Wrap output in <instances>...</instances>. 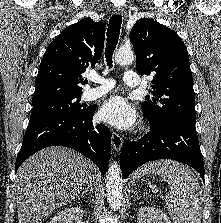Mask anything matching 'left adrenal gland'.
Returning <instances> with one entry per match:
<instances>
[{
    "label": "left adrenal gland",
    "instance_id": "left-adrenal-gland-1",
    "mask_svg": "<svg viewBox=\"0 0 221 223\" xmlns=\"http://www.w3.org/2000/svg\"><path fill=\"white\" fill-rule=\"evenodd\" d=\"M140 198V196L138 195V192H136V197L134 199V201L138 200Z\"/></svg>",
    "mask_w": 221,
    "mask_h": 223
}]
</instances>
